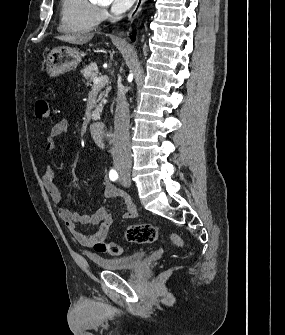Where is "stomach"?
Listing matches in <instances>:
<instances>
[{
    "label": "stomach",
    "instance_id": "obj_1",
    "mask_svg": "<svg viewBox=\"0 0 285 335\" xmlns=\"http://www.w3.org/2000/svg\"><path fill=\"white\" fill-rule=\"evenodd\" d=\"M82 56L83 54H80L77 48H65V46L53 48L46 60V72L48 76L54 78V76H59V74L75 68V66H78L82 62Z\"/></svg>",
    "mask_w": 285,
    "mask_h": 335
}]
</instances>
